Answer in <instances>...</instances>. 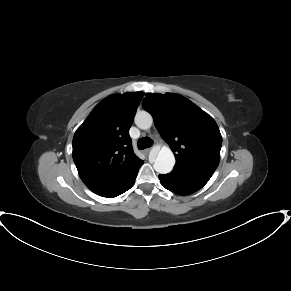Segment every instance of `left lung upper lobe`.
Instances as JSON below:
<instances>
[{
	"instance_id": "1",
	"label": "left lung upper lobe",
	"mask_w": 291,
	"mask_h": 291,
	"mask_svg": "<svg viewBox=\"0 0 291 291\" xmlns=\"http://www.w3.org/2000/svg\"><path fill=\"white\" fill-rule=\"evenodd\" d=\"M142 105L175 155L173 171L210 178L222 145L214 119L179 94L147 93Z\"/></svg>"
}]
</instances>
